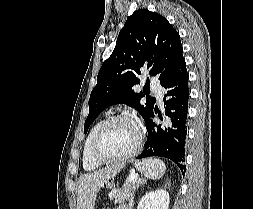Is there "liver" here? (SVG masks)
<instances>
[{"label":"liver","mask_w":253,"mask_h":209,"mask_svg":"<svg viewBox=\"0 0 253 209\" xmlns=\"http://www.w3.org/2000/svg\"><path fill=\"white\" fill-rule=\"evenodd\" d=\"M120 169L121 166H108L81 176L76 188L77 209H94L99 189Z\"/></svg>","instance_id":"6515ba94"}]
</instances>
